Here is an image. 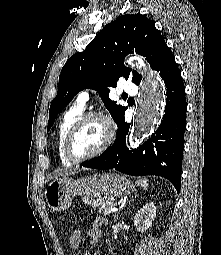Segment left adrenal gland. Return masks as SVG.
Returning a JSON list of instances; mask_svg holds the SVG:
<instances>
[{
  "label": "left adrenal gland",
  "instance_id": "a2214340",
  "mask_svg": "<svg viewBox=\"0 0 221 255\" xmlns=\"http://www.w3.org/2000/svg\"><path fill=\"white\" fill-rule=\"evenodd\" d=\"M119 213H120V210L115 214V216H114V221L116 222L117 221V219H118V215H119Z\"/></svg>",
  "mask_w": 221,
  "mask_h": 255
}]
</instances>
